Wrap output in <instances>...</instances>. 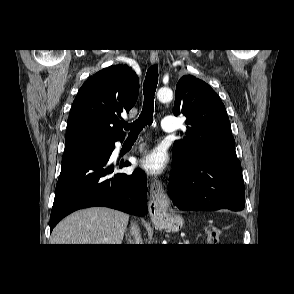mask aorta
I'll return each instance as SVG.
<instances>
[{"mask_svg": "<svg viewBox=\"0 0 294 294\" xmlns=\"http://www.w3.org/2000/svg\"><path fill=\"white\" fill-rule=\"evenodd\" d=\"M157 98L159 101L167 103L173 99V91L169 88H160L157 92Z\"/></svg>", "mask_w": 294, "mask_h": 294, "instance_id": "762f6f07", "label": "aorta"}]
</instances>
